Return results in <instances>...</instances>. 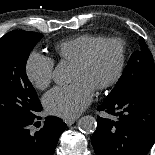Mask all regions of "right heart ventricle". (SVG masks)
<instances>
[{"instance_id":"1","label":"right heart ventricle","mask_w":155,"mask_h":155,"mask_svg":"<svg viewBox=\"0 0 155 155\" xmlns=\"http://www.w3.org/2000/svg\"><path fill=\"white\" fill-rule=\"evenodd\" d=\"M103 38L94 34H80L56 44L55 52L62 61L74 64L93 44Z\"/></svg>"}]
</instances>
